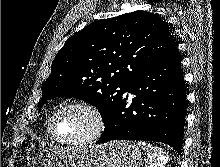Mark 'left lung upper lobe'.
<instances>
[{"label": "left lung upper lobe", "mask_w": 220, "mask_h": 167, "mask_svg": "<svg viewBox=\"0 0 220 167\" xmlns=\"http://www.w3.org/2000/svg\"><path fill=\"white\" fill-rule=\"evenodd\" d=\"M175 49L170 27L147 11L91 23L56 55L38 107L57 96L78 98L98 108L106 124L129 80Z\"/></svg>", "instance_id": "5c2ea615"}]
</instances>
